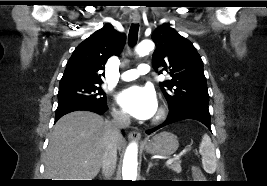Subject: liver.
I'll return each mask as SVG.
<instances>
[{"mask_svg": "<svg viewBox=\"0 0 267 186\" xmlns=\"http://www.w3.org/2000/svg\"><path fill=\"white\" fill-rule=\"evenodd\" d=\"M108 123L88 111H75L55 124L45 154V178L92 180L98 174L108 136ZM124 143L118 140V147Z\"/></svg>", "mask_w": 267, "mask_h": 186, "instance_id": "1", "label": "liver"}]
</instances>
